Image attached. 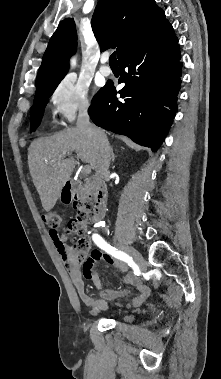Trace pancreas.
Listing matches in <instances>:
<instances>
[{"mask_svg": "<svg viewBox=\"0 0 221 379\" xmlns=\"http://www.w3.org/2000/svg\"><path fill=\"white\" fill-rule=\"evenodd\" d=\"M83 192L86 195H89L91 193L89 187H87Z\"/></svg>", "mask_w": 221, "mask_h": 379, "instance_id": "pancreas-1", "label": "pancreas"}]
</instances>
